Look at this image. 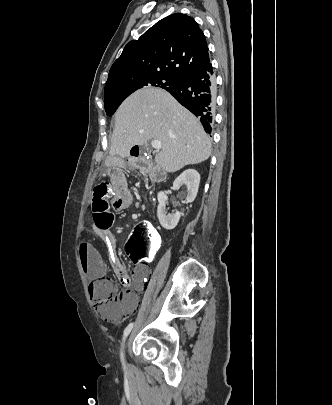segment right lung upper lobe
<instances>
[{
	"mask_svg": "<svg viewBox=\"0 0 332 405\" xmlns=\"http://www.w3.org/2000/svg\"><path fill=\"white\" fill-rule=\"evenodd\" d=\"M209 61L206 38L197 22L190 16L175 13L125 46L109 71L106 86L117 78L135 74L182 77Z\"/></svg>",
	"mask_w": 332,
	"mask_h": 405,
	"instance_id": "right-lung-upper-lobe-1",
	"label": "right lung upper lobe"
}]
</instances>
